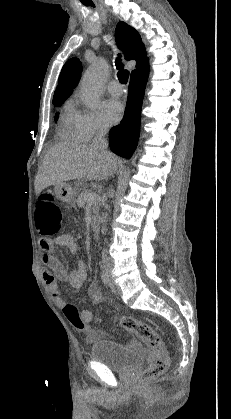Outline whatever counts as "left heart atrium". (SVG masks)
<instances>
[{
	"label": "left heart atrium",
	"instance_id": "1",
	"mask_svg": "<svg viewBox=\"0 0 231 419\" xmlns=\"http://www.w3.org/2000/svg\"><path fill=\"white\" fill-rule=\"evenodd\" d=\"M102 114L109 124L117 123L123 115V106L118 100H108L102 105Z\"/></svg>",
	"mask_w": 231,
	"mask_h": 419
}]
</instances>
